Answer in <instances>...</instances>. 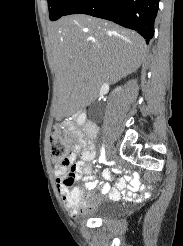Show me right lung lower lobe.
Here are the masks:
<instances>
[{
	"label": "right lung lower lobe",
	"instance_id": "right-lung-lower-lobe-1",
	"mask_svg": "<svg viewBox=\"0 0 183 246\" xmlns=\"http://www.w3.org/2000/svg\"><path fill=\"white\" fill-rule=\"evenodd\" d=\"M159 0H75L65 15L87 14L137 31L148 44L154 35Z\"/></svg>",
	"mask_w": 183,
	"mask_h": 246
}]
</instances>
